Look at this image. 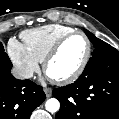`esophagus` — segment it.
Masks as SVG:
<instances>
[{"label": "esophagus", "mask_w": 119, "mask_h": 119, "mask_svg": "<svg viewBox=\"0 0 119 119\" xmlns=\"http://www.w3.org/2000/svg\"><path fill=\"white\" fill-rule=\"evenodd\" d=\"M44 92L48 98L51 97V95H52V89L51 88L45 87Z\"/></svg>", "instance_id": "34e87169"}]
</instances>
